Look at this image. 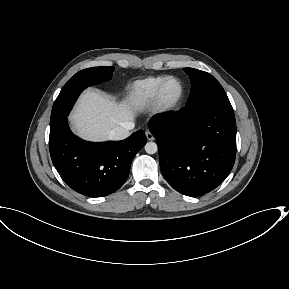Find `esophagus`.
Wrapping results in <instances>:
<instances>
[{"instance_id":"1","label":"esophagus","mask_w":289,"mask_h":289,"mask_svg":"<svg viewBox=\"0 0 289 289\" xmlns=\"http://www.w3.org/2000/svg\"><path fill=\"white\" fill-rule=\"evenodd\" d=\"M145 135H146V137H147V139L149 141H153L154 140V136H153V134L150 131H146Z\"/></svg>"}]
</instances>
